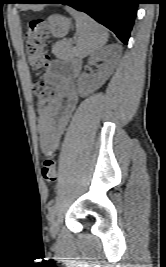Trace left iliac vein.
I'll return each instance as SVG.
<instances>
[{
  "label": "left iliac vein",
  "mask_w": 166,
  "mask_h": 267,
  "mask_svg": "<svg viewBox=\"0 0 166 267\" xmlns=\"http://www.w3.org/2000/svg\"><path fill=\"white\" fill-rule=\"evenodd\" d=\"M58 232H59V222L57 219H54L50 225V234L52 237H56Z\"/></svg>",
  "instance_id": "obj_1"
}]
</instances>
